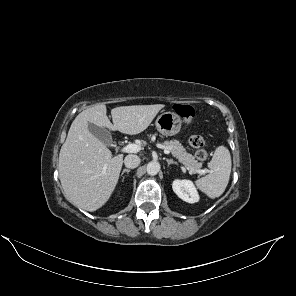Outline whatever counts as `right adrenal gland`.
<instances>
[{"label":"right adrenal gland","instance_id":"2a0ac1e0","mask_svg":"<svg viewBox=\"0 0 296 296\" xmlns=\"http://www.w3.org/2000/svg\"><path fill=\"white\" fill-rule=\"evenodd\" d=\"M130 171H131L130 169H124V170L122 171V173H121V176H123L124 173H129Z\"/></svg>","mask_w":296,"mask_h":296}]
</instances>
